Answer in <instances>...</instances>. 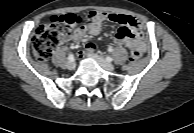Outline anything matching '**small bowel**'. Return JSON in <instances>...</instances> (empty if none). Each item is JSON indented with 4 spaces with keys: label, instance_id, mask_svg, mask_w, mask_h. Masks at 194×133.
Returning <instances> with one entry per match:
<instances>
[{
    "label": "small bowel",
    "instance_id": "small-bowel-1",
    "mask_svg": "<svg viewBox=\"0 0 194 133\" xmlns=\"http://www.w3.org/2000/svg\"><path fill=\"white\" fill-rule=\"evenodd\" d=\"M104 22L119 23L121 27L117 30L114 43L116 45H125L132 50L138 48L141 53L145 51V41L142 31V25L135 17L124 14L92 11L88 14L86 22L75 31L67 33L62 41L83 40L87 35H98L101 32ZM109 51L113 50V45H107Z\"/></svg>",
    "mask_w": 194,
    "mask_h": 133
}]
</instances>
